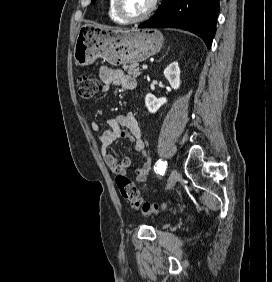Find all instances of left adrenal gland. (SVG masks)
I'll list each match as a JSON object with an SVG mask.
<instances>
[{
	"label": "left adrenal gland",
	"instance_id": "a2214340",
	"mask_svg": "<svg viewBox=\"0 0 272 282\" xmlns=\"http://www.w3.org/2000/svg\"><path fill=\"white\" fill-rule=\"evenodd\" d=\"M168 51H169V47H168L167 52L160 58V60H162V59L168 54ZM160 60H159V61H160Z\"/></svg>",
	"mask_w": 272,
	"mask_h": 282
}]
</instances>
